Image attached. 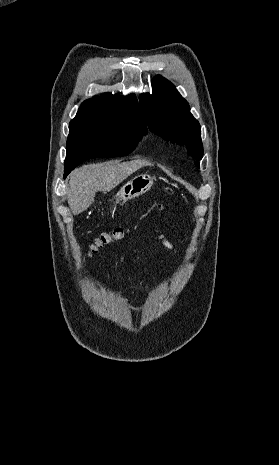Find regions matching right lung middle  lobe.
<instances>
[{"label": "right lung middle lobe", "mask_w": 279, "mask_h": 465, "mask_svg": "<svg viewBox=\"0 0 279 465\" xmlns=\"http://www.w3.org/2000/svg\"><path fill=\"white\" fill-rule=\"evenodd\" d=\"M146 132L130 123H109L70 129L65 171L95 157H119L130 153Z\"/></svg>", "instance_id": "obj_1"}]
</instances>
